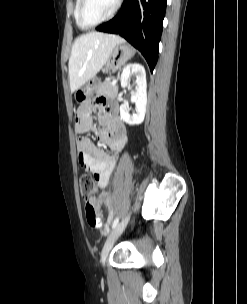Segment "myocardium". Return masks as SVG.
<instances>
[{
  "label": "myocardium",
  "instance_id": "obj_1",
  "mask_svg": "<svg viewBox=\"0 0 247 304\" xmlns=\"http://www.w3.org/2000/svg\"><path fill=\"white\" fill-rule=\"evenodd\" d=\"M87 3V0H80L79 2V6H78V22L81 28L83 29H90V28H95L105 22L110 21L111 19H113L116 14L118 13V11L120 10L123 0H117L116 6L114 8V10L104 19H102L101 21L94 23V24H87L84 20V16H83V11L85 8V5Z\"/></svg>",
  "mask_w": 247,
  "mask_h": 304
}]
</instances>
